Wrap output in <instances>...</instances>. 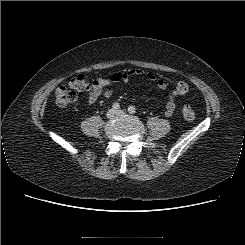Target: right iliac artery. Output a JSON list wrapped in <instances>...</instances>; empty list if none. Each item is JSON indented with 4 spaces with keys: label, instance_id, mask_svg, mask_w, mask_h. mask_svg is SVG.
<instances>
[{
    "label": "right iliac artery",
    "instance_id": "right-iliac-artery-1",
    "mask_svg": "<svg viewBox=\"0 0 245 245\" xmlns=\"http://www.w3.org/2000/svg\"><path fill=\"white\" fill-rule=\"evenodd\" d=\"M112 107L117 110L120 108V105L119 103H114Z\"/></svg>",
    "mask_w": 245,
    "mask_h": 245
}]
</instances>
